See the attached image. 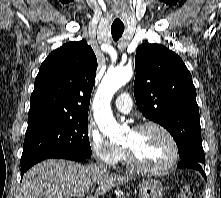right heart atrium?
<instances>
[{
  "label": "right heart atrium",
  "mask_w": 221,
  "mask_h": 198,
  "mask_svg": "<svg viewBox=\"0 0 221 198\" xmlns=\"http://www.w3.org/2000/svg\"><path fill=\"white\" fill-rule=\"evenodd\" d=\"M86 136L89 148L96 159L107 166H114L119 162L122 149L111 143L99 130L89 126Z\"/></svg>",
  "instance_id": "1"
}]
</instances>
